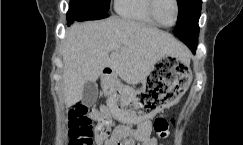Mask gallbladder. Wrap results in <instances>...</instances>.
I'll use <instances>...</instances> for the list:
<instances>
[{"instance_id":"obj_1","label":"gallbladder","mask_w":243,"mask_h":145,"mask_svg":"<svg viewBox=\"0 0 243 145\" xmlns=\"http://www.w3.org/2000/svg\"><path fill=\"white\" fill-rule=\"evenodd\" d=\"M98 96V86L94 81H86L83 87V103L87 106L94 104Z\"/></svg>"}]
</instances>
